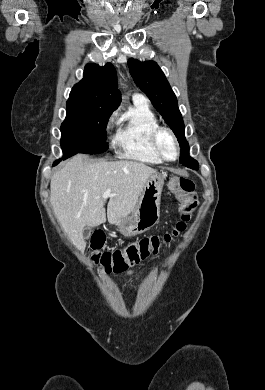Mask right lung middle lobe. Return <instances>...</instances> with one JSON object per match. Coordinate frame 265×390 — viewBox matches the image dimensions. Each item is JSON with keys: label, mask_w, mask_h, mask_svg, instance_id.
Returning a JSON list of instances; mask_svg holds the SVG:
<instances>
[{"label": "right lung middle lobe", "mask_w": 265, "mask_h": 390, "mask_svg": "<svg viewBox=\"0 0 265 390\" xmlns=\"http://www.w3.org/2000/svg\"><path fill=\"white\" fill-rule=\"evenodd\" d=\"M61 125L64 159L77 153L98 154L108 149L106 126L112 111L91 106L67 105Z\"/></svg>", "instance_id": "obj_1"}]
</instances>
